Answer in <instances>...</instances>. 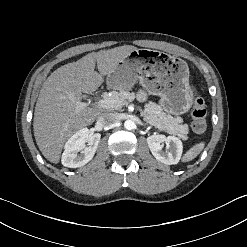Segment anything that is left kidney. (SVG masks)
I'll return each mask as SVG.
<instances>
[{
  "label": "left kidney",
  "instance_id": "obj_1",
  "mask_svg": "<svg viewBox=\"0 0 247 247\" xmlns=\"http://www.w3.org/2000/svg\"><path fill=\"white\" fill-rule=\"evenodd\" d=\"M166 144L165 150L163 149ZM148 147L152 155L166 165L177 164L182 156L183 145L179 138L161 134H154L147 138Z\"/></svg>",
  "mask_w": 247,
  "mask_h": 247
}]
</instances>
